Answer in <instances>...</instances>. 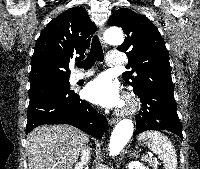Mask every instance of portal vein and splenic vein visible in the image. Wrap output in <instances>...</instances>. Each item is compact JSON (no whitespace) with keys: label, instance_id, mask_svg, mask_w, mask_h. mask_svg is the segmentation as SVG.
I'll list each match as a JSON object with an SVG mask.
<instances>
[{"label":"portal vein and splenic vein","instance_id":"portal-vein-and-splenic-vein-1","mask_svg":"<svg viewBox=\"0 0 200 169\" xmlns=\"http://www.w3.org/2000/svg\"><path fill=\"white\" fill-rule=\"evenodd\" d=\"M151 157H152V155L149 156V158H151ZM147 158H148V156L143 157V159H147Z\"/></svg>","mask_w":200,"mask_h":169}]
</instances>
